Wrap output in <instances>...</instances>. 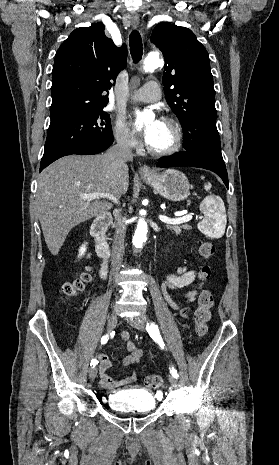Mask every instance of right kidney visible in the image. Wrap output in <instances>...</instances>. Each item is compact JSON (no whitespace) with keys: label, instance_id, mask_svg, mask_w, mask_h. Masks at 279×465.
<instances>
[{"label":"right kidney","instance_id":"right-kidney-1","mask_svg":"<svg viewBox=\"0 0 279 465\" xmlns=\"http://www.w3.org/2000/svg\"><path fill=\"white\" fill-rule=\"evenodd\" d=\"M86 249H87V248H86V244H83V245L80 247V249H79V255H78V256H79V257H82V256L85 254Z\"/></svg>","mask_w":279,"mask_h":465}]
</instances>
